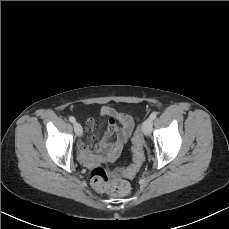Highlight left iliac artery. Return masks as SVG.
I'll return each mask as SVG.
<instances>
[{"label": "left iliac artery", "mask_w": 229, "mask_h": 229, "mask_svg": "<svg viewBox=\"0 0 229 229\" xmlns=\"http://www.w3.org/2000/svg\"><path fill=\"white\" fill-rule=\"evenodd\" d=\"M156 117H157V113L156 112L151 113L150 118L152 120H154Z\"/></svg>", "instance_id": "44dca946"}]
</instances>
